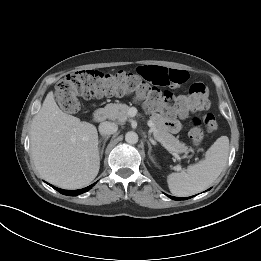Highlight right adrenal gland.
<instances>
[{"mask_svg":"<svg viewBox=\"0 0 261 261\" xmlns=\"http://www.w3.org/2000/svg\"><path fill=\"white\" fill-rule=\"evenodd\" d=\"M108 139H109V136H103V137L98 141V144H99L98 149H99L100 157H101V158H102V156H103L104 148H105V145H106V142H107ZM102 140H103V145H102V147H100Z\"/></svg>","mask_w":261,"mask_h":261,"instance_id":"obj_1","label":"right adrenal gland"}]
</instances>
